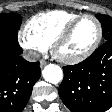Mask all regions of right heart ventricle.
I'll return each instance as SVG.
<instances>
[{
  "instance_id": "obj_1",
  "label": "right heart ventricle",
  "mask_w": 112,
  "mask_h": 112,
  "mask_svg": "<svg viewBox=\"0 0 112 112\" xmlns=\"http://www.w3.org/2000/svg\"><path fill=\"white\" fill-rule=\"evenodd\" d=\"M80 13L67 10H51L33 16L27 23L28 30L47 46Z\"/></svg>"
}]
</instances>
